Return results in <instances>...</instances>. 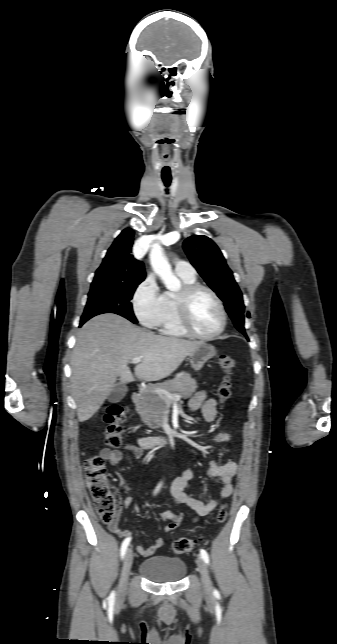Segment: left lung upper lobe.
<instances>
[{"mask_svg":"<svg viewBox=\"0 0 337 644\" xmlns=\"http://www.w3.org/2000/svg\"><path fill=\"white\" fill-rule=\"evenodd\" d=\"M183 248L191 264L224 302L235 327L246 336L242 293L217 245L206 236L194 235L184 241Z\"/></svg>","mask_w":337,"mask_h":644,"instance_id":"1","label":"left lung upper lobe"}]
</instances>
